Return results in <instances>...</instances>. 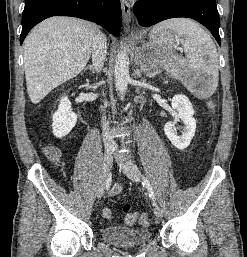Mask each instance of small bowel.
<instances>
[{"instance_id":"obj_1","label":"small bowel","mask_w":247,"mask_h":257,"mask_svg":"<svg viewBox=\"0 0 247 257\" xmlns=\"http://www.w3.org/2000/svg\"><path fill=\"white\" fill-rule=\"evenodd\" d=\"M55 149L57 150V156L54 157V158H50V159L53 160V161H58V159H59V150H58L57 148H55ZM119 191H120V186H119V185H115V186L111 189L110 195H111V196H114V195L118 194Z\"/></svg>"}]
</instances>
